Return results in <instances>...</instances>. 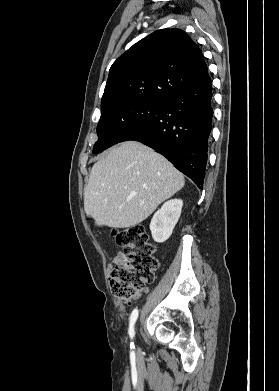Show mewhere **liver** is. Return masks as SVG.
Returning <instances> with one entry per match:
<instances>
[{"label": "liver", "instance_id": "liver-1", "mask_svg": "<svg viewBox=\"0 0 279 391\" xmlns=\"http://www.w3.org/2000/svg\"><path fill=\"white\" fill-rule=\"evenodd\" d=\"M184 183V176L161 154L136 141L122 142L93 165L84 210L97 226L133 227Z\"/></svg>", "mask_w": 279, "mask_h": 391}]
</instances>
